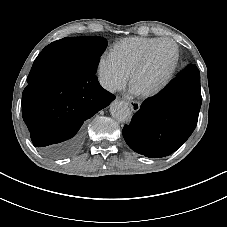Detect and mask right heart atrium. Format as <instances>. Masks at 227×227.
<instances>
[{"instance_id": "1", "label": "right heart atrium", "mask_w": 227, "mask_h": 227, "mask_svg": "<svg viewBox=\"0 0 227 227\" xmlns=\"http://www.w3.org/2000/svg\"><path fill=\"white\" fill-rule=\"evenodd\" d=\"M100 86L109 93H115L126 83L128 75L110 56H101L97 64Z\"/></svg>"}]
</instances>
